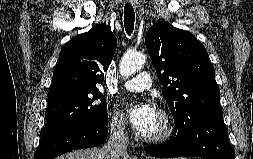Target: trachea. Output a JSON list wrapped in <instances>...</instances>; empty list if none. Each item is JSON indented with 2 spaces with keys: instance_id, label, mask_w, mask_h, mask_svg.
Wrapping results in <instances>:
<instances>
[{
  "instance_id": "obj_1",
  "label": "trachea",
  "mask_w": 253,
  "mask_h": 159,
  "mask_svg": "<svg viewBox=\"0 0 253 159\" xmlns=\"http://www.w3.org/2000/svg\"><path fill=\"white\" fill-rule=\"evenodd\" d=\"M135 13L133 6L126 3L124 6V26L128 35H131L134 29Z\"/></svg>"
}]
</instances>
